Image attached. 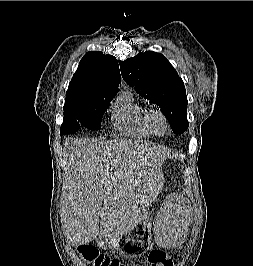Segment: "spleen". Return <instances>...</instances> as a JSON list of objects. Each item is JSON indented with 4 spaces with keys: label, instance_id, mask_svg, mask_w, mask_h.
I'll return each instance as SVG.
<instances>
[{
    "label": "spleen",
    "instance_id": "obj_1",
    "mask_svg": "<svg viewBox=\"0 0 253 266\" xmlns=\"http://www.w3.org/2000/svg\"><path fill=\"white\" fill-rule=\"evenodd\" d=\"M188 207H161L154 217V234L158 246H184Z\"/></svg>",
    "mask_w": 253,
    "mask_h": 266
}]
</instances>
